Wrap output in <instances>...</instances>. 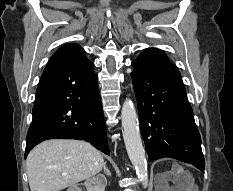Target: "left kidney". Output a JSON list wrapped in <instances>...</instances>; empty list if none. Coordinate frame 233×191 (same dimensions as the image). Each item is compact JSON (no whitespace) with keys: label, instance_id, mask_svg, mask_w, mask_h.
Listing matches in <instances>:
<instances>
[{"label":"left kidney","instance_id":"1","mask_svg":"<svg viewBox=\"0 0 233 191\" xmlns=\"http://www.w3.org/2000/svg\"><path fill=\"white\" fill-rule=\"evenodd\" d=\"M170 179H171L170 173H166V182H165V186H166V188H167L166 191H172V190L170 189L169 185H168V182H167V181L170 180ZM173 180L176 182V184H178L179 188L186 189L185 187H181V185H180V183H179V177H178L177 175L174 176ZM186 191H188V190H186Z\"/></svg>","mask_w":233,"mask_h":191}]
</instances>
